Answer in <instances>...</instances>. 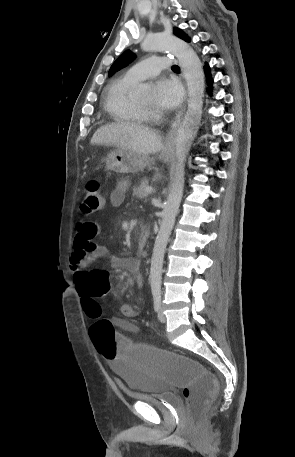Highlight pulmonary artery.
Masks as SVG:
<instances>
[{
	"label": "pulmonary artery",
	"instance_id": "pulmonary-artery-1",
	"mask_svg": "<svg viewBox=\"0 0 295 457\" xmlns=\"http://www.w3.org/2000/svg\"><path fill=\"white\" fill-rule=\"evenodd\" d=\"M171 60L167 57L152 56L134 66L126 73V76L135 81H141L150 77H154L163 69L169 68Z\"/></svg>",
	"mask_w": 295,
	"mask_h": 457
}]
</instances>
